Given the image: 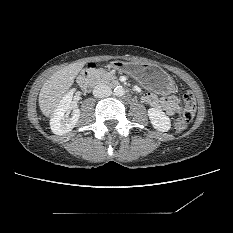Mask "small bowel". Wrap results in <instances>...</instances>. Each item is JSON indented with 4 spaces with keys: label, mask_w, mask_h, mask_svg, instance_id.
Listing matches in <instances>:
<instances>
[{
    "label": "small bowel",
    "mask_w": 233,
    "mask_h": 233,
    "mask_svg": "<svg viewBox=\"0 0 233 233\" xmlns=\"http://www.w3.org/2000/svg\"><path fill=\"white\" fill-rule=\"evenodd\" d=\"M141 100L153 108L162 109L168 116L181 109L180 100L175 96L160 98L152 92H147L142 95Z\"/></svg>",
    "instance_id": "1"
}]
</instances>
